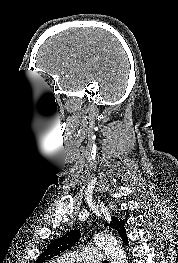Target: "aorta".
Returning <instances> with one entry per match:
<instances>
[{"instance_id": "aorta-1", "label": "aorta", "mask_w": 178, "mask_h": 263, "mask_svg": "<svg viewBox=\"0 0 178 263\" xmlns=\"http://www.w3.org/2000/svg\"><path fill=\"white\" fill-rule=\"evenodd\" d=\"M93 240L96 245L105 250L110 263H128L124 250L113 236L108 234H96Z\"/></svg>"}]
</instances>
